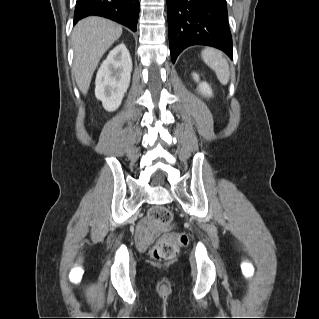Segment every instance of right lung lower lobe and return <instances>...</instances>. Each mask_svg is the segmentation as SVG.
<instances>
[{
    "instance_id": "98d812e1",
    "label": "right lung lower lobe",
    "mask_w": 319,
    "mask_h": 319,
    "mask_svg": "<svg viewBox=\"0 0 319 319\" xmlns=\"http://www.w3.org/2000/svg\"><path fill=\"white\" fill-rule=\"evenodd\" d=\"M102 16L137 30L138 0H77L74 24L88 16Z\"/></svg>"
}]
</instances>
